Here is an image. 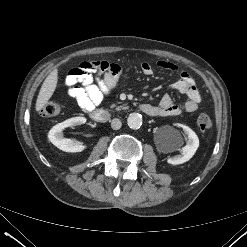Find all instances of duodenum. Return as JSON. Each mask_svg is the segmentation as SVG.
Masks as SVG:
<instances>
[{
    "instance_id": "1",
    "label": "duodenum",
    "mask_w": 247,
    "mask_h": 247,
    "mask_svg": "<svg viewBox=\"0 0 247 247\" xmlns=\"http://www.w3.org/2000/svg\"><path fill=\"white\" fill-rule=\"evenodd\" d=\"M139 109L148 116H155L157 111L153 105L141 104ZM91 118L98 123H105L110 119V113L105 109H94L90 112Z\"/></svg>"
}]
</instances>
